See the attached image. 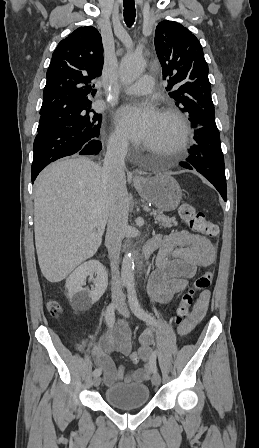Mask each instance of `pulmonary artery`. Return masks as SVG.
<instances>
[{"mask_svg":"<svg viewBox=\"0 0 259 448\" xmlns=\"http://www.w3.org/2000/svg\"><path fill=\"white\" fill-rule=\"evenodd\" d=\"M143 65L138 63L131 54L126 55L120 62V70L122 74L129 77L130 80H147L152 81L153 77L149 75H142ZM150 91L149 87L136 88L132 85H124L121 92L130 95L145 94Z\"/></svg>","mask_w":259,"mask_h":448,"instance_id":"pulmonary-artery-1","label":"pulmonary artery"}]
</instances>
